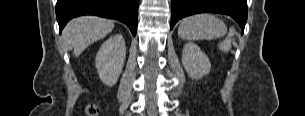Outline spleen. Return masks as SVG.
Here are the masks:
<instances>
[{"label":"spleen","mask_w":305,"mask_h":116,"mask_svg":"<svg viewBox=\"0 0 305 116\" xmlns=\"http://www.w3.org/2000/svg\"><path fill=\"white\" fill-rule=\"evenodd\" d=\"M226 32L225 23L214 15L207 13L186 17L181 20L178 27L179 37L189 41L213 40L224 36ZM221 47H227L225 42Z\"/></svg>","instance_id":"obj_1"}]
</instances>
